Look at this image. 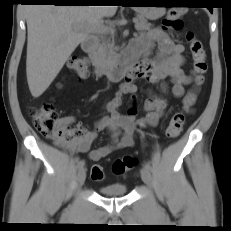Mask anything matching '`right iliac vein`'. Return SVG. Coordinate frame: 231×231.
<instances>
[{"label":"right iliac vein","instance_id":"1","mask_svg":"<svg viewBox=\"0 0 231 231\" xmlns=\"http://www.w3.org/2000/svg\"><path fill=\"white\" fill-rule=\"evenodd\" d=\"M86 179V170L85 169H80L78 174H77V183L79 186L83 185Z\"/></svg>","mask_w":231,"mask_h":231}]
</instances>
